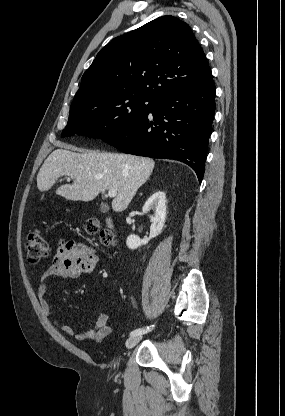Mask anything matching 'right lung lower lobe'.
Masks as SVG:
<instances>
[{
	"label": "right lung lower lobe",
	"instance_id": "98d812e1",
	"mask_svg": "<svg viewBox=\"0 0 285 416\" xmlns=\"http://www.w3.org/2000/svg\"><path fill=\"white\" fill-rule=\"evenodd\" d=\"M215 93L211 78L202 85L173 94L157 103L140 121L103 141L124 153L184 162L201 182L215 112Z\"/></svg>",
	"mask_w": 285,
	"mask_h": 416
}]
</instances>
